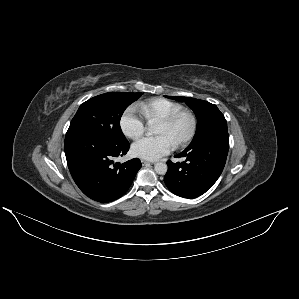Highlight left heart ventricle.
Instances as JSON below:
<instances>
[{
	"label": "left heart ventricle",
	"mask_w": 299,
	"mask_h": 299,
	"mask_svg": "<svg viewBox=\"0 0 299 299\" xmlns=\"http://www.w3.org/2000/svg\"><path fill=\"white\" fill-rule=\"evenodd\" d=\"M191 120L189 116L182 115L173 125L167 126L164 124H158L156 133L158 135H166L170 140L176 144L182 140L190 131Z\"/></svg>",
	"instance_id": "1"
}]
</instances>
